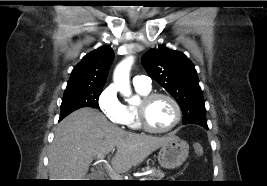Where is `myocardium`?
<instances>
[{"mask_svg": "<svg viewBox=\"0 0 267 186\" xmlns=\"http://www.w3.org/2000/svg\"><path fill=\"white\" fill-rule=\"evenodd\" d=\"M157 98L167 99L173 106L175 111V118L172 124L163 129H157L152 127L147 118L148 108L150 104ZM137 114L140 127L150 133H167L175 129L181 121L182 112L178 102L169 94L163 92H149L142 96L140 103L137 105Z\"/></svg>", "mask_w": 267, "mask_h": 186, "instance_id": "obj_1", "label": "myocardium"}]
</instances>
